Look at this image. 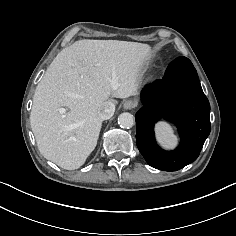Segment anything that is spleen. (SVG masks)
I'll return each instance as SVG.
<instances>
[{
  "instance_id": "spleen-1",
  "label": "spleen",
  "mask_w": 236,
  "mask_h": 236,
  "mask_svg": "<svg viewBox=\"0 0 236 236\" xmlns=\"http://www.w3.org/2000/svg\"><path fill=\"white\" fill-rule=\"evenodd\" d=\"M155 132L157 141L164 148L173 149L177 145L178 138L169 123L164 121L158 122L155 127Z\"/></svg>"
}]
</instances>
